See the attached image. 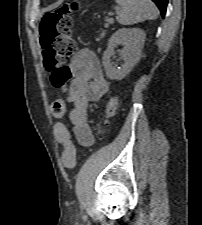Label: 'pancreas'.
I'll use <instances>...</instances> for the list:
<instances>
[{"instance_id":"cf45deb5","label":"pancreas","mask_w":202,"mask_h":225,"mask_svg":"<svg viewBox=\"0 0 202 225\" xmlns=\"http://www.w3.org/2000/svg\"><path fill=\"white\" fill-rule=\"evenodd\" d=\"M106 22H107V23L105 24V27L107 28V27H108V23H109V22H108V19H106ZM104 34H105V32L102 31L101 35H104Z\"/></svg>"}]
</instances>
